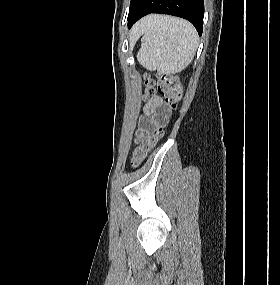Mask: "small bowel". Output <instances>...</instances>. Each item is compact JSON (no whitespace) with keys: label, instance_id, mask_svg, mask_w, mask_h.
Listing matches in <instances>:
<instances>
[{"label":"small bowel","instance_id":"c3829d8e","mask_svg":"<svg viewBox=\"0 0 280 285\" xmlns=\"http://www.w3.org/2000/svg\"><path fill=\"white\" fill-rule=\"evenodd\" d=\"M168 115L169 109L165 107L162 99L158 96L153 97L144 107V117L137 137H143L157 120H166Z\"/></svg>","mask_w":280,"mask_h":285}]
</instances>
